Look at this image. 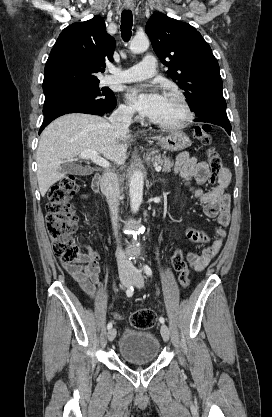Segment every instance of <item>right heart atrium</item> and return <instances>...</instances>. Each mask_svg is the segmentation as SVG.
<instances>
[{"label":"right heart atrium","mask_w":272,"mask_h":417,"mask_svg":"<svg viewBox=\"0 0 272 417\" xmlns=\"http://www.w3.org/2000/svg\"><path fill=\"white\" fill-rule=\"evenodd\" d=\"M118 114L122 118L130 119L134 116V110L131 107V105H129L127 103H122L118 107Z\"/></svg>","instance_id":"1"}]
</instances>
